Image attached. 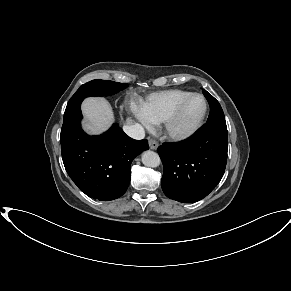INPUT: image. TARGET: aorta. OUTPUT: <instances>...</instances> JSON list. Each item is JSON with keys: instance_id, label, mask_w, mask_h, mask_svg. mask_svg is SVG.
<instances>
[{"instance_id": "aorta-1", "label": "aorta", "mask_w": 291, "mask_h": 291, "mask_svg": "<svg viewBox=\"0 0 291 291\" xmlns=\"http://www.w3.org/2000/svg\"><path fill=\"white\" fill-rule=\"evenodd\" d=\"M142 163L147 167L155 168L160 165L161 160L156 152L148 150L142 154Z\"/></svg>"}]
</instances>
